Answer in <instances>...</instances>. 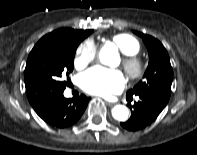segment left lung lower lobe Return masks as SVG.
Here are the masks:
<instances>
[{"mask_svg":"<svg viewBox=\"0 0 197 155\" xmlns=\"http://www.w3.org/2000/svg\"><path fill=\"white\" fill-rule=\"evenodd\" d=\"M132 96L127 95V100H132ZM136 96L139 97V101L134 102L133 106L129 105L131 108L130 119L121 123L122 127L130 131H137L151 124L166 106L165 103L155 98L144 95Z\"/></svg>","mask_w":197,"mask_h":155,"instance_id":"1","label":"left lung lower lobe"}]
</instances>
